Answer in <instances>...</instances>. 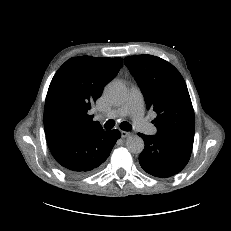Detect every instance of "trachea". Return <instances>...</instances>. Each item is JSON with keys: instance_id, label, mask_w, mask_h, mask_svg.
<instances>
[{"instance_id": "obj_1", "label": "trachea", "mask_w": 231, "mask_h": 231, "mask_svg": "<svg viewBox=\"0 0 231 231\" xmlns=\"http://www.w3.org/2000/svg\"><path fill=\"white\" fill-rule=\"evenodd\" d=\"M115 125V122L113 120H108L105 124H104V128L105 129H112ZM120 128L124 131H129L132 129V126L127 123V122H122L120 124Z\"/></svg>"}]
</instances>
